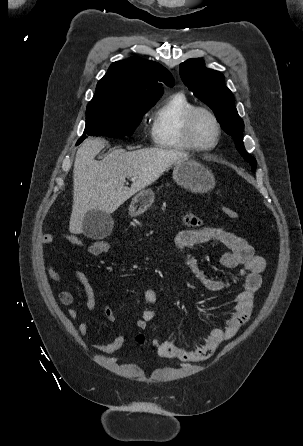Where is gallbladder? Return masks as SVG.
<instances>
[{
    "label": "gallbladder",
    "instance_id": "obj_1",
    "mask_svg": "<svg viewBox=\"0 0 303 446\" xmlns=\"http://www.w3.org/2000/svg\"><path fill=\"white\" fill-rule=\"evenodd\" d=\"M113 224L110 215L92 210L87 212L83 219L82 233L92 239H102L111 233Z\"/></svg>",
    "mask_w": 303,
    "mask_h": 446
}]
</instances>
